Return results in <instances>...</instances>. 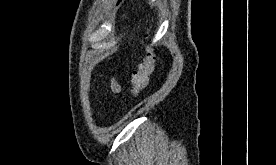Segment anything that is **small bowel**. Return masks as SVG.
<instances>
[{
	"mask_svg": "<svg viewBox=\"0 0 276 165\" xmlns=\"http://www.w3.org/2000/svg\"><path fill=\"white\" fill-rule=\"evenodd\" d=\"M111 89L113 92L118 93L121 91V86L115 78L111 79Z\"/></svg>",
	"mask_w": 276,
	"mask_h": 165,
	"instance_id": "1",
	"label": "small bowel"
}]
</instances>
